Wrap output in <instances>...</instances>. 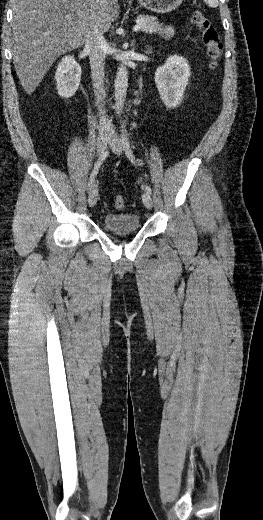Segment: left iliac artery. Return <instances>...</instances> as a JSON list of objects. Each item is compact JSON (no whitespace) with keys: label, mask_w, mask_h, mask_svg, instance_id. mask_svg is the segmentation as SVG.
Masks as SVG:
<instances>
[{"label":"left iliac artery","mask_w":263,"mask_h":520,"mask_svg":"<svg viewBox=\"0 0 263 520\" xmlns=\"http://www.w3.org/2000/svg\"><path fill=\"white\" fill-rule=\"evenodd\" d=\"M121 131H122V134H121V138H122V142H123V147H124V150H125V153L127 155V157L129 158V160L135 164V158H134V155H133V152H132V149L130 147V144H129V141H128V138H127V134H126V130L124 129V126H121ZM145 191L151 195L152 193V190L151 188L146 185L145 186Z\"/></svg>","instance_id":"obj_1"}]
</instances>
